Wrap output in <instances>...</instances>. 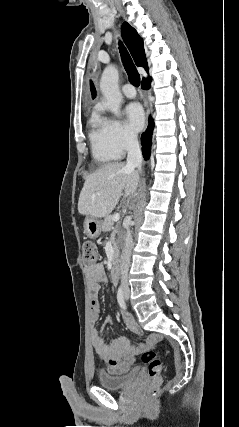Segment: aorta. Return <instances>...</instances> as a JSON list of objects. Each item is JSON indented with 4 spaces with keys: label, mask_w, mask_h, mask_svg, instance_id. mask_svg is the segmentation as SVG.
Returning <instances> with one entry per match:
<instances>
[{
    "label": "aorta",
    "mask_w": 239,
    "mask_h": 427,
    "mask_svg": "<svg viewBox=\"0 0 239 427\" xmlns=\"http://www.w3.org/2000/svg\"><path fill=\"white\" fill-rule=\"evenodd\" d=\"M118 78L116 67L109 65L104 69L100 81V89L106 99L107 107L115 115L120 113L122 101V95L118 89Z\"/></svg>",
    "instance_id": "1"
}]
</instances>
